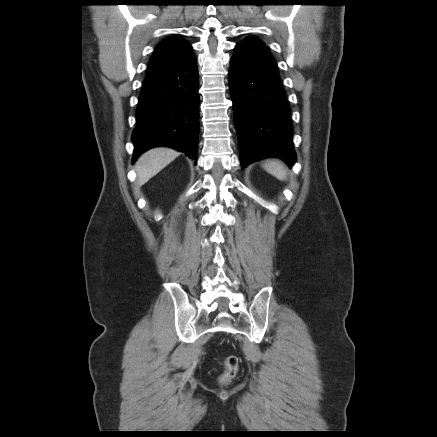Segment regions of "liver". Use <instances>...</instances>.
I'll return each instance as SVG.
<instances>
[{"mask_svg":"<svg viewBox=\"0 0 437 437\" xmlns=\"http://www.w3.org/2000/svg\"><path fill=\"white\" fill-rule=\"evenodd\" d=\"M179 156V152L157 147L143 153L135 164L138 184L143 185Z\"/></svg>","mask_w":437,"mask_h":437,"instance_id":"6515ba94","label":"liver"}]
</instances>
